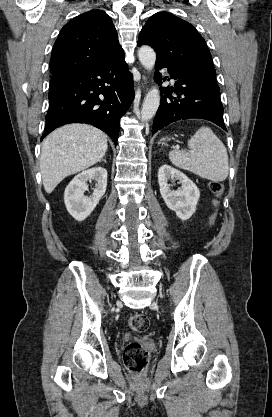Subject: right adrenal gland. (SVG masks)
Here are the masks:
<instances>
[{"mask_svg": "<svg viewBox=\"0 0 272 417\" xmlns=\"http://www.w3.org/2000/svg\"><path fill=\"white\" fill-rule=\"evenodd\" d=\"M101 161H103L104 163H106V160H105V159H101ZM101 161H100V162H101Z\"/></svg>", "mask_w": 272, "mask_h": 417, "instance_id": "right-adrenal-gland-1", "label": "right adrenal gland"}]
</instances>
